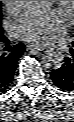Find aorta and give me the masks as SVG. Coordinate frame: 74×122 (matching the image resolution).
I'll use <instances>...</instances> for the list:
<instances>
[{
    "label": "aorta",
    "instance_id": "1",
    "mask_svg": "<svg viewBox=\"0 0 74 122\" xmlns=\"http://www.w3.org/2000/svg\"><path fill=\"white\" fill-rule=\"evenodd\" d=\"M51 1H24V5L30 9H43L48 7ZM42 63L48 69L56 70L64 64V56L57 49H48L42 54Z\"/></svg>",
    "mask_w": 74,
    "mask_h": 122
}]
</instances>
